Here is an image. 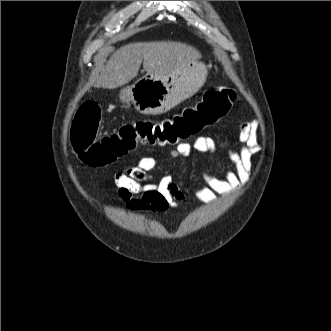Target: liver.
Masks as SVG:
<instances>
[{
    "instance_id": "6515ba94",
    "label": "liver",
    "mask_w": 331,
    "mask_h": 331,
    "mask_svg": "<svg viewBox=\"0 0 331 331\" xmlns=\"http://www.w3.org/2000/svg\"><path fill=\"white\" fill-rule=\"evenodd\" d=\"M200 56L194 47L181 42L130 43L110 57L95 76L94 86L106 89L121 87L138 75L142 62L148 74L165 78L180 72L189 62Z\"/></svg>"
}]
</instances>
